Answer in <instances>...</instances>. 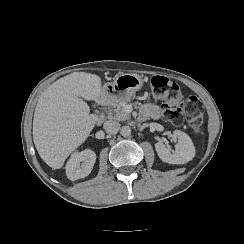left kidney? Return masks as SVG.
Segmentation results:
<instances>
[{"label":"left kidney","mask_w":244,"mask_h":244,"mask_svg":"<svg viewBox=\"0 0 244 244\" xmlns=\"http://www.w3.org/2000/svg\"><path fill=\"white\" fill-rule=\"evenodd\" d=\"M171 138L176 142L175 151L162 141L155 143V150L158 157L169 164H185L191 161L195 154V149L190 137L181 131H173Z\"/></svg>","instance_id":"5707ae66"}]
</instances>
